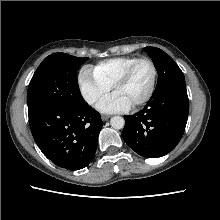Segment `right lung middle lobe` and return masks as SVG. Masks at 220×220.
Returning <instances> with one entry per match:
<instances>
[{
	"mask_svg": "<svg viewBox=\"0 0 220 220\" xmlns=\"http://www.w3.org/2000/svg\"><path fill=\"white\" fill-rule=\"evenodd\" d=\"M88 57L79 58L65 53L46 57L35 71L28 87V112L46 106L76 108L84 105L78 86L77 69Z\"/></svg>",
	"mask_w": 220,
	"mask_h": 220,
	"instance_id": "1",
	"label": "right lung middle lobe"
}]
</instances>
